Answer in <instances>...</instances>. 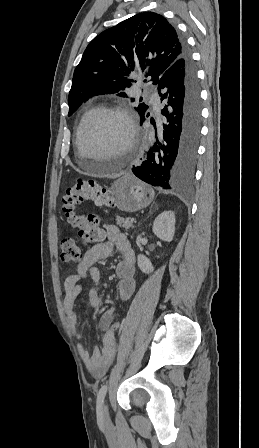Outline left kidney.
<instances>
[{
    "mask_svg": "<svg viewBox=\"0 0 259 448\" xmlns=\"http://www.w3.org/2000/svg\"><path fill=\"white\" fill-rule=\"evenodd\" d=\"M155 236L163 240V242H172L175 232V214L174 212H162L158 218H155L152 228ZM138 266L144 274H151L154 268L143 254L138 256Z\"/></svg>",
    "mask_w": 259,
    "mask_h": 448,
    "instance_id": "left-kidney-1",
    "label": "left kidney"
}]
</instances>
